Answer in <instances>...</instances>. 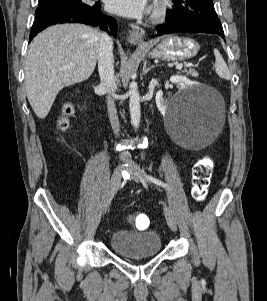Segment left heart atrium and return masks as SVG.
Instances as JSON below:
<instances>
[{"label": "left heart atrium", "mask_w": 267, "mask_h": 301, "mask_svg": "<svg viewBox=\"0 0 267 301\" xmlns=\"http://www.w3.org/2000/svg\"><path fill=\"white\" fill-rule=\"evenodd\" d=\"M107 8L117 15L137 18L148 11V0H107Z\"/></svg>", "instance_id": "obj_1"}]
</instances>
